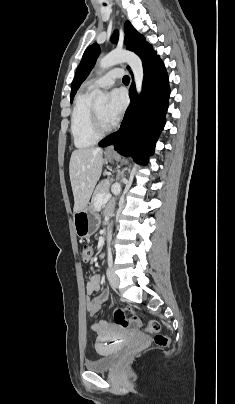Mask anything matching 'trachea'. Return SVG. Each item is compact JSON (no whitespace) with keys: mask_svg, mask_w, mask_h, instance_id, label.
Masks as SVG:
<instances>
[{"mask_svg":"<svg viewBox=\"0 0 235 404\" xmlns=\"http://www.w3.org/2000/svg\"><path fill=\"white\" fill-rule=\"evenodd\" d=\"M122 81H123L124 83H129V81H130L129 76L125 75V76L123 77Z\"/></svg>","mask_w":235,"mask_h":404,"instance_id":"obj_1","label":"trachea"}]
</instances>
